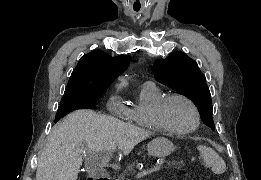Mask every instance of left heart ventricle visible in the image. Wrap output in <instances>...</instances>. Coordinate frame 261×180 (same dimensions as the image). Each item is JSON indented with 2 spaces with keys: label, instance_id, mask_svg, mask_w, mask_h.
<instances>
[{
  "label": "left heart ventricle",
  "instance_id": "1",
  "mask_svg": "<svg viewBox=\"0 0 261 180\" xmlns=\"http://www.w3.org/2000/svg\"><path fill=\"white\" fill-rule=\"evenodd\" d=\"M164 125L173 131L188 129L194 120V114L189 105L182 101H173L164 106L158 113Z\"/></svg>",
  "mask_w": 261,
  "mask_h": 180
}]
</instances>
